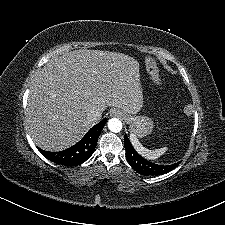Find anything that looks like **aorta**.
<instances>
[{
	"instance_id": "aorta-1",
	"label": "aorta",
	"mask_w": 225,
	"mask_h": 225,
	"mask_svg": "<svg viewBox=\"0 0 225 225\" xmlns=\"http://www.w3.org/2000/svg\"><path fill=\"white\" fill-rule=\"evenodd\" d=\"M108 129L114 133H118L122 130V122L117 118H111L108 120Z\"/></svg>"
}]
</instances>
